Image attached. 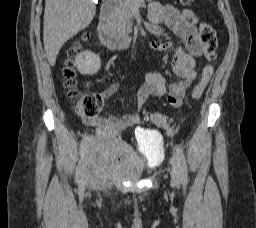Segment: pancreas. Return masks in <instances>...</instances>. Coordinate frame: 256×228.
Listing matches in <instances>:
<instances>
[{"label":"pancreas","mask_w":256,"mask_h":228,"mask_svg":"<svg viewBox=\"0 0 256 228\" xmlns=\"http://www.w3.org/2000/svg\"><path fill=\"white\" fill-rule=\"evenodd\" d=\"M133 0H121L112 16V27L120 34L132 32L134 10L137 8Z\"/></svg>","instance_id":"obj_1"}]
</instances>
